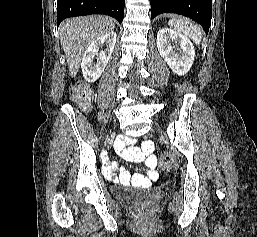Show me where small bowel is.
Segmentation results:
<instances>
[{
  "mask_svg": "<svg viewBox=\"0 0 257 237\" xmlns=\"http://www.w3.org/2000/svg\"><path fill=\"white\" fill-rule=\"evenodd\" d=\"M126 142H135V140L129 139ZM117 149L125 158L133 161H145L147 170L145 174L131 175L124 168H120L116 173V165L112 162H109L106 163L103 169V172L108 179L125 185L131 182L146 184L148 181L156 179L157 173L155 171V168L157 165V160L156 157L152 154L153 143L151 141L143 142L141 148L127 149L123 148V142H121L120 144H118Z\"/></svg>",
  "mask_w": 257,
  "mask_h": 237,
  "instance_id": "1",
  "label": "small bowel"
}]
</instances>
